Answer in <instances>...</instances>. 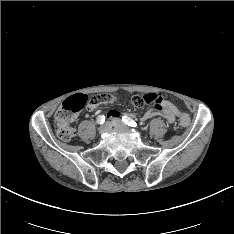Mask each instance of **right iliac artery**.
I'll return each mask as SVG.
<instances>
[{
  "mask_svg": "<svg viewBox=\"0 0 234 234\" xmlns=\"http://www.w3.org/2000/svg\"><path fill=\"white\" fill-rule=\"evenodd\" d=\"M105 122V116L104 115H99L97 118V123L98 124H103Z\"/></svg>",
  "mask_w": 234,
  "mask_h": 234,
  "instance_id": "1",
  "label": "right iliac artery"
}]
</instances>
